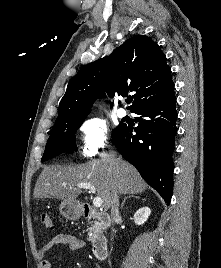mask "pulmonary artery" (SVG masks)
Returning a JSON list of instances; mask_svg holds the SVG:
<instances>
[{"instance_id": "1", "label": "pulmonary artery", "mask_w": 221, "mask_h": 268, "mask_svg": "<svg viewBox=\"0 0 221 268\" xmlns=\"http://www.w3.org/2000/svg\"><path fill=\"white\" fill-rule=\"evenodd\" d=\"M117 115H118L119 118H124L127 115V111L125 109H123V108H119L117 110Z\"/></svg>"}]
</instances>
